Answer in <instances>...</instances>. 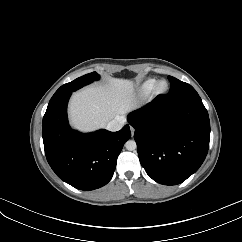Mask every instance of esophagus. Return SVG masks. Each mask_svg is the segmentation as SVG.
Listing matches in <instances>:
<instances>
[{"mask_svg":"<svg viewBox=\"0 0 242 242\" xmlns=\"http://www.w3.org/2000/svg\"><path fill=\"white\" fill-rule=\"evenodd\" d=\"M130 129H131V134H132V136L134 135V128L133 127H130Z\"/></svg>","mask_w":242,"mask_h":242,"instance_id":"34e87169","label":"esophagus"}]
</instances>
